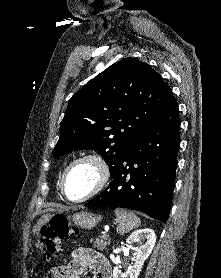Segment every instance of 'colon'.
<instances>
[{"label":"colon","mask_w":221,"mask_h":278,"mask_svg":"<svg viewBox=\"0 0 221 278\" xmlns=\"http://www.w3.org/2000/svg\"><path fill=\"white\" fill-rule=\"evenodd\" d=\"M77 231L76 227L70 226L65 216L56 215L48 225L41 228L37 246L43 251L45 258L51 259L62 253L63 248L60 241L73 233H77ZM60 274L61 270L55 267L51 270L49 278H57Z\"/></svg>","instance_id":"colon-1"}]
</instances>
